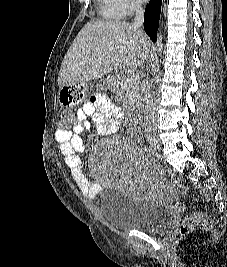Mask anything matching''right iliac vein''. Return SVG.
Masks as SVG:
<instances>
[{
  "label": "right iliac vein",
  "mask_w": 227,
  "mask_h": 267,
  "mask_svg": "<svg viewBox=\"0 0 227 267\" xmlns=\"http://www.w3.org/2000/svg\"><path fill=\"white\" fill-rule=\"evenodd\" d=\"M149 143H150V145H151L153 148H155V149H157V150H160V143H159L158 140H156L155 138L150 137V138H149Z\"/></svg>",
  "instance_id": "1"
}]
</instances>
